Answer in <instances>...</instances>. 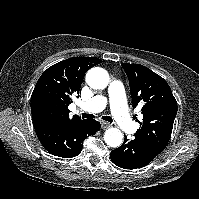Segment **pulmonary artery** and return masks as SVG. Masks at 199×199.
Here are the masks:
<instances>
[{
	"instance_id": "pulmonary-artery-1",
	"label": "pulmonary artery",
	"mask_w": 199,
	"mask_h": 199,
	"mask_svg": "<svg viewBox=\"0 0 199 199\" xmlns=\"http://www.w3.org/2000/svg\"><path fill=\"white\" fill-rule=\"evenodd\" d=\"M107 91L111 113L117 124L125 132L130 133L135 131L137 126L126 106L123 84L118 80H113L108 85ZM106 104L107 98L99 95L81 103L80 109L87 112H100Z\"/></svg>"
}]
</instances>
